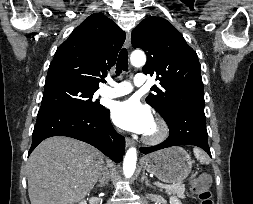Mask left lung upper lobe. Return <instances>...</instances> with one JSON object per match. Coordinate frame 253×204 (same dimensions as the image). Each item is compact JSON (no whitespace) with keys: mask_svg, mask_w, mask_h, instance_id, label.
<instances>
[{"mask_svg":"<svg viewBox=\"0 0 253 204\" xmlns=\"http://www.w3.org/2000/svg\"><path fill=\"white\" fill-rule=\"evenodd\" d=\"M132 46L147 55L145 74L156 75L160 87L146 98L165 121L179 110L204 105V89L196 52L164 18L148 17L132 31Z\"/></svg>","mask_w":253,"mask_h":204,"instance_id":"obj_1","label":"left lung upper lobe"}]
</instances>
